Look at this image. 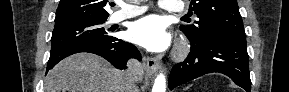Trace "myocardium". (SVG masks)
Listing matches in <instances>:
<instances>
[{"label": "myocardium", "instance_id": "obj_1", "mask_svg": "<svg viewBox=\"0 0 289 92\" xmlns=\"http://www.w3.org/2000/svg\"><path fill=\"white\" fill-rule=\"evenodd\" d=\"M188 45H187V43L186 42H181L179 45H178V47H177V49H176V51H175V57L177 58V59H181V58H183L187 53H188Z\"/></svg>", "mask_w": 289, "mask_h": 92}]
</instances>
